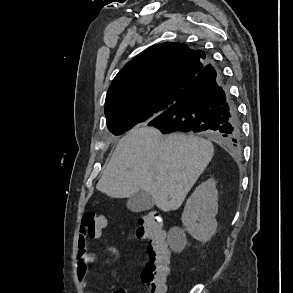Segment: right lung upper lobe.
Returning a JSON list of instances; mask_svg holds the SVG:
<instances>
[{
  "label": "right lung upper lobe",
  "instance_id": "obj_1",
  "mask_svg": "<svg viewBox=\"0 0 293 293\" xmlns=\"http://www.w3.org/2000/svg\"><path fill=\"white\" fill-rule=\"evenodd\" d=\"M208 62L200 50L178 42L149 47L128 62L112 81L105 101L106 119L161 106L152 120L174 103Z\"/></svg>",
  "mask_w": 293,
  "mask_h": 293
}]
</instances>
